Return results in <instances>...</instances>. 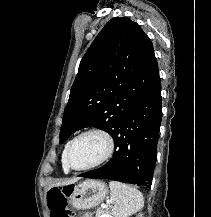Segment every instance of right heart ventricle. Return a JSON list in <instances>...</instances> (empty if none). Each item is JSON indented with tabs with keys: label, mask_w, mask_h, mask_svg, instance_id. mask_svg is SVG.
I'll use <instances>...</instances> for the list:
<instances>
[{
	"label": "right heart ventricle",
	"mask_w": 211,
	"mask_h": 217,
	"mask_svg": "<svg viewBox=\"0 0 211 217\" xmlns=\"http://www.w3.org/2000/svg\"><path fill=\"white\" fill-rule=\"evenodd\" d=\"M70 141H68L65 146H64V149H63V152H62V157H61V164H62V169L65 173H68L70 171L67 163H66V151H67V148H68V145H69Z\"/></svg>",
	"instance_id": "obj_1"
}]
</instances>
